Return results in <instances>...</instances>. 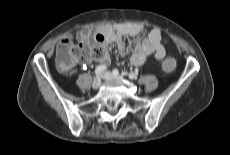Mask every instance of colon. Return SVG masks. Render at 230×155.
<instances>
[{
	"instance_id": "5ec220e1",
	"label": "colon",
	"mask_w": 230,
	"mask_h": 155,
	"mask_svg": "<svg viewBox=\"0 0 230 155\" xmlns=\"http://www.w3.org/2000/svg\"><path fill=\"white\" fill-rule=\"evenodd\" d=\"M105 49L100 44L88 45L85 43L71 44L62 40L56 52L55 62L62 72H69L76 63H88L103 57ZM177 66L176 59L166 55L161 59L160 69L164 73H171Z\"/></svg>"
}]
</instances>
